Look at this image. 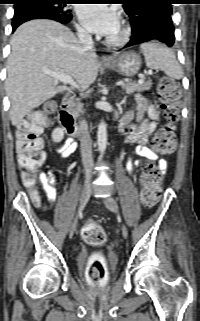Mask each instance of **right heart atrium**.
Wrapping results in <instances>:
<instances>
[{
	"instance_id": "obj_1",
	"label": "right heart atrium",
	"mask_w": 200,
	"mask_h": 321,
	"mask_svg": "<svg viewBox=\"0 0 200 321\" xmlns=\"http://www.w3.org/2000/svg\"><path fill=\"white\" fill-rule=\"evenodd\" d=\"M77 30L82 35H85L87 33L86 30L80 25L77 27Z\"/></svg>"
}]
</instances>
